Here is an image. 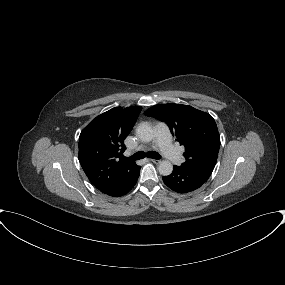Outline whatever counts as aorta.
Instances as JSON below:
<instances>
[{"label": "aorta", "mask_w": 285, "mask_h": 285, "mask_svg": "<svg viewBox=\"0 0 285 285\" xmlns=\"http://www.w3.org/2000/svg\"><path fill=\"white\" fill-rule=\"evenodd\" d=\"M137 137L143 142H150L153 140L154 131L148 123H141L136 128ZM158 171L163 176H168L173 171V165L168 160H162L159 163Z\"/></svg>", "instance_id": "obj_1"}]
</instances>
